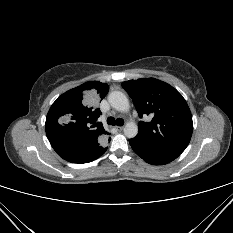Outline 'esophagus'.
I'll use <instances>...</instances> for the list:
<instances>
[{"instance_id": "obj_1", "label": "esophagus", "mask_w": 233, "mask_h": 233, "mask_svg": "<svg viewBox=\"0 0 233 233\" xmlns=\"http://www.w3.org/2000/svg\"><path fill=\"white\" fill-rule=\"evenodd\" d=\"M115 129H116L117 131H122V130H123V127H122V126H116Z\"/></svg>"}]
</instances>
